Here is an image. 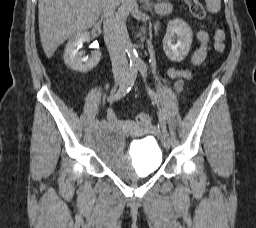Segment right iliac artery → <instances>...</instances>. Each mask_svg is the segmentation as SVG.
<instances>
[{"instance_id":"obj_1","label":"right iliac artery","mask_w":256,"mask_h":228,"mask_svg":"<svg viewBox=\"0 0 256 228\" xmlns=\"http://www.w3.org/2000/svg\"><path fill=\"white\" fill-rule=\"evenodd\" d=\"M137 72H138V67L136 65H130L129 68V72L127 75V78L125 80V82L120 86V88L118 89V91L114 94H111L107 101L112 103L122 97H124L132 88L136 77H137ZM100 124V121L98 119L93 121V126L94 127H98V125Z\"/></svg>"}]
</instances>
